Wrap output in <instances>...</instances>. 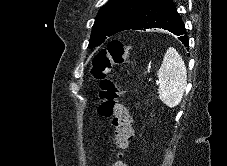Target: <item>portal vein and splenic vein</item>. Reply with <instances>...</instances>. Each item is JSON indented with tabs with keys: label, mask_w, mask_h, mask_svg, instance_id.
<instances>
[{
	"label": "portal vein and splenic vein",
	"mask_w": 227,
	"mask_h": 166,
	"mask_svg": "<svg viewBox=\"0 0 227 166\" xmlns=\"http://www.w3.org/2000/svg\"><path fill=\"white\" fill-rule=\"evenodd\" d=\"M156 85H159V82H156Z\"/></svg>",
	"instance_id": "obj_1"
}]
</instances>
